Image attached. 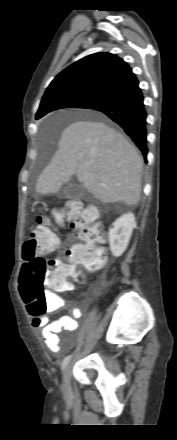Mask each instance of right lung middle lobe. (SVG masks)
I'll list each match as a JSON object with an SVG mask.
<instances>
[{
    "label": "right lung middle lobe",
    "mask_w": 177,
    "mask_h": 440,
    "mask_svg": "<svg viewBox=\"0 0 177 440\" xmlns=\"http://www.w3.org/2000/svg\"><path fill=\"white\" fill-rule=\"evenodd\" d=\"M99 95L89 94L76 91L60 92L41 101L36 119L41 118L45 114L62 108H86L88 105L97 100Z\"/></svg>",
    "instance_id": "dd1d6c3e"
}]
</instances>
